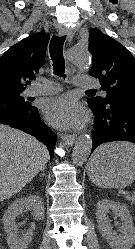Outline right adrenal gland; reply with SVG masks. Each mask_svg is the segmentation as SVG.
Returning <instances> with one entry per match:
<instances>
[{
	"label": "right adrenal gland",
	"instance_id": "1",
	"mask_svg": "<svg viewBox=\"0 0 135 249\" xmlns=\"http://www.w3.org/2000/svg\"><path fill=\"white\" fill-rule=\"evenodd\" d=\"M40 176H45V177H46V174H45V170H44V169L41 171Z\"/></svg>",
	"mask_w": 135,
	"mask_h": 249
}]
</instances>
